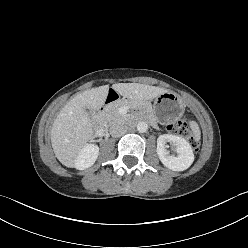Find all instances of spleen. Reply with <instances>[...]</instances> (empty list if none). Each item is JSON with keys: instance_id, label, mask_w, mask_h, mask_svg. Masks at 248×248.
<instances>
[{"instance_id": "spleen-1", "label": "spleen", "mask_w": 248, "mask_h": 248, "mask_svg": "<svg viewBox=\"0 0 248 248\" xmlns=\"http://www.w3.org/2000/svg\"><path fill=\"white\" fill-rule=\"evenodd\" d=\"M190 127H191L196 139H199L200 138V129H199L198 124L195 121H191L190 122Z\"/></svg>"}]
</instances>
